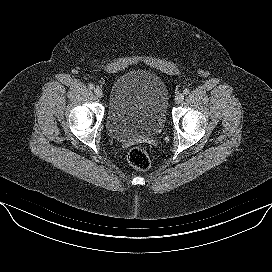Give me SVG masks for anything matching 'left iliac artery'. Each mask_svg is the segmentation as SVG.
<instances>
[{
    "label": "left iliac artery",
    "mask_w": 272,
    "mask_h": 272,
    "mask_svg": "<svg viewBox=\"0 0 272 272\" xmlns=\"http://www.w3.org/2000/svg\"><path fill=\"white\" fill-rule=\"evenodd\" d=\"M189 92H190V90L187 88L183 90V94H185V95L189 94Z\"/></svg>",
    "instance_id": "obj_1"
}]
</instances>
